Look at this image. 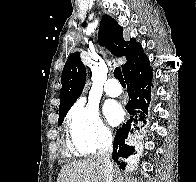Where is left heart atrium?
Instances as JSON below:
<instances>
[{"mask_svg": "<svg viewBox=\"0 0 196 182\" xmlns=\"http://www.w3.org/2000/svg\"><path fill=\"white\" fill-rule=\"evenodd\" d=\"M104 115L111 125H117L122 121L124 113L117 102L108 101L104 105Z\"/></svg>", "mask_w": 196, "mask_h": 182, "instance_id": "39dd6f15", "label": "left heart atrium"}]
</instances>
